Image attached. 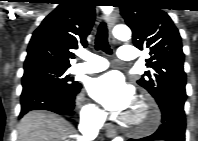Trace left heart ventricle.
<instances>
[{"label": "left heart ventricle", "mask_w": 198, "mask_h": 141, "mask_svg": "<svg viewBox=\"0 0 198 141\" xmlns=\"http://www.w3.org/2000/svg\"><path fill=\"white\" fill-rule=\"evenodd\" d=\"M134 116L136 117V119H141V113L140 112H135Z\"/></svg>", "instance_id": "1"}]
</instances>
